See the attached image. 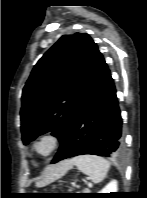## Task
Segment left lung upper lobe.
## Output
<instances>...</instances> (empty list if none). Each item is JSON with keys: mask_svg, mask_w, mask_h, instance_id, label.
Here are the masks:
<instances>
[{"mask_svg": "<svg viewBox=\"0 0 147 198\" xmlns=\"http://www.w3.org/2000/svg\"><path fill=\"white\" fill-rule=\"evenodd\" d=\"M99 50L86 33L63 35L37 62L23 88L24 144L51 131L61 142L90 84Z\"/></svg>", "mask_w": 147, "mask_h": 198, "instance_id": "1", "label": "left lung upper lobe"}]
</instances>
